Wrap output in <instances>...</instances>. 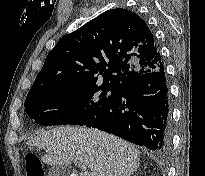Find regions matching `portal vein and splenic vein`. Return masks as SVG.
I'll use <instances>...</instances> for the list:
<instances>
[{
  "label": "portal vein and splenic vein",
  "instance_id": "portal-vein-and-splenic-vein-1",
  "mask_svg": "<svg viewBox=\"0 0 205 176\" xmlns=\"http://www.w3.org/2000/svg\"><path fill=\"white\" fill-rule=\"evenodd\" d=\"M78 166H79L83 171L86 170V165H84V164H78Z\"/></svg>",
  "mask_w": 205,
  "mask_h": 176
}]
</instances>
